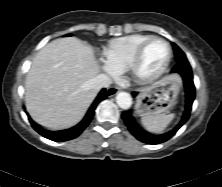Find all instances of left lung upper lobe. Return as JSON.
I'll return each mask as SVG.
<instances>
[{
  "mask_svg": "<svg viewBox=\"0 0 222 187\" xmlns=\"http://www.w3.org/2000/svg\"><path fill=\"white\" fill-rule=\"evenodd\" d=\"M176 62H188L184 52L174 43H172Z\"/></svg>",
  "mask_w": 222,
  "mask_h": 187,
  "instance_id": "obj_1",
  "label": "left lung upper lobe"
}]
</instances>
